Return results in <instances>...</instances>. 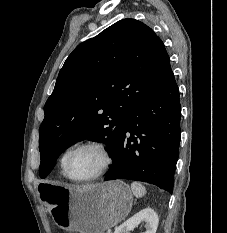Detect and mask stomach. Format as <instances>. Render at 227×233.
<instances>
[{
	"label": "stomach",
	"instance_id": "obj_1",
	"mask_svg": "<svg viewBox=\"0 0 227 233\" xmlns=\"http://www.w3.org/2000/svg\"><path fill=\"white\" fill-rule=\"evenodd\" d=\"M42 188V200L55 223L80 233H104L124 220L133 204L129 186L119 180L83 188L46 182Z\"/></svg>",
	"mask_w": 227,
	"mask_h": 233
}]
</instances>
